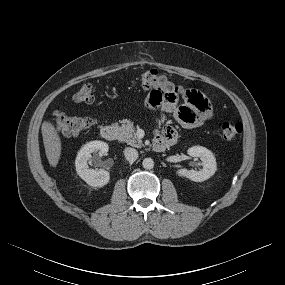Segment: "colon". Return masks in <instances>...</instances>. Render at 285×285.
I'll return each instance as SVG.
<instances>
[{
  "label": "colon",
  "instance_id": "obj_1",
  "mask_svg": "<svg viewBox=\"0 0 285 285\" xmlns=\"http://www.w3.org/2000/svg\"><path fill=\"white\" fill-rule=\"evenodd\" d=\"M141 84L150 92L164 88L170 92L175 91L183 95L185 90L170 81L157 70L144 72L140 78ZM74 100L78 103L92 104L95 101L94 87L91 83H84L75 93ZM53 120L56 130L64 136H76L90 129L94 124L93 118L71 116L63 112H55ZM220 135L225 140H232L242 132V124L239 122L225 121L218 125Z\"/></svg>",
  "mask_w": 285,
  "mask_h": 285
}]
</instances>
